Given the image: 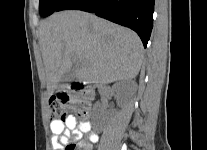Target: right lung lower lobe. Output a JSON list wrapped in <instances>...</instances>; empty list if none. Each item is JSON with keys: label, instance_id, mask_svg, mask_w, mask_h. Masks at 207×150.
Masks as SVG:
<instances>
[{"label": "right lung lower lobe", "instance_id": "obj_1", "mask_svg": "<svg viewBox=\"0 0 207 150\" xmlns=\"http://www.w3.org/2000/svg\"><path fill=\"white\" fill-rule=\"evenodd\" d=\"M79 9L133 29L147 46L153 27L154 0H65L57 11Z\"/></svg>", "mask_w": 207, "mask_h": 150}]
</instances>
